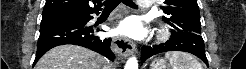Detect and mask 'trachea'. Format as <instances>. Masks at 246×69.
I'll use <instances>...</instances> for the list:
<instances>
[{
	"label": "trachea",
	"instance_id": "3493384b",
	"mask_svg": "<svg viewBox=\"0 0 246 69\" xmlns=\"http://www.w3.org/2000/svg\"><path fill=\"white\" fill-rule=\"evenodd\" d=\"M120 2L128 6L136 7L135 3L132 0H106L104 2V11L114 10Z\"/></svg>",
	"mask_w": 246,
	"mask_h": 69
}]
</instances>
